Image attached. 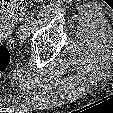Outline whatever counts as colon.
I'll return each instance as SVG.
<instances>
[{"label":"colon","instance_id":"colon-1","mask_svg":"<svg viewBox=\"0 0 113 113\" xmlns=\"http://www.w3.org/2000/svg\"><path fill=\"white\" fill-rule=\"evenodd\" d=\"M25 11L26 6L22 0H0V12L14 22L21 21ZM12 46L13 40L11 38L4 44L0 43V74L5 71L11 63Z\"/></svg>","mask_w":113,"mask_h":113}]
</instances>
